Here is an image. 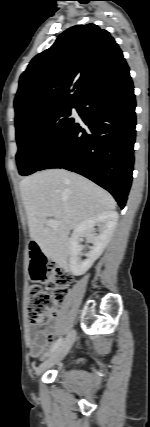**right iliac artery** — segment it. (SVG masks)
<instances>
[{
	"mask_svg": "<svg viewBox=\"0 0 150 427\" xmlns=\"http://www.w3.org/2000/svg\"><path fill=\"white\" fill-rule=\"evenodd\" d=\"M61 343H62V338H60L57 341H55L54 344L51 346L50 351L48 352V354H50L53 351H55L60 346Z\"/></svg>",
	"mask_w": 150,
	"mask_h": 427,
	"instance_id": "1",
	"label": "right iliac artery"
}]
</instances>
